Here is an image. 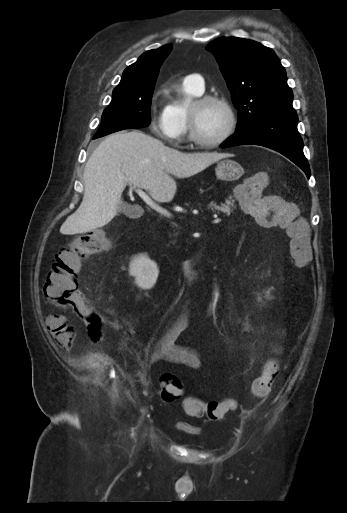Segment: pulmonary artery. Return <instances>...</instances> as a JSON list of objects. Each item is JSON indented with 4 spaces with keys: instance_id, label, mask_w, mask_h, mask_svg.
Masks as SVG:
<instances>
[{
    "instance_id": "e3ab8cb5",
    "label": "pulmonary artery",
    "mask_w": 347,
    "mask_h": 513,
    "mask_svg": "<svg viewBox=\"0 0 347 513\" xmlns=\"http://www.w3.org/2000/svg\"><path fill=\"white\" fill-rule=\"evenodd\" d=\"M185 81L192 85L197 91L201 93L204 91L205 81L201 74H190L185 77Z\"/></svg>"
}]
</instances>
